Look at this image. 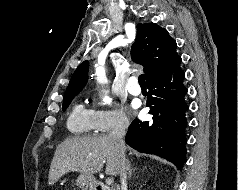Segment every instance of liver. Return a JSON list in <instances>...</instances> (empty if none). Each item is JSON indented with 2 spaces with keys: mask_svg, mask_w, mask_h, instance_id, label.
I'll return each mask as SVG.
<instances>
[{
  "mask_svg": "<svg viewBox=\"0 0 238 190\" xmlns=\"http://www.w3.org/2000/svg\"><path fill=\"white\" fill-rule=\"evenodd\" d=\"M105 162L106 174H119V152L109 136L66 139L56 148L49 170V185H54L68 172L93 176L103 169Z\"/></svg>",
  "mask_w": 238,
  "mask_h": 190,
  "instance_id": "liver-1",
  "label": "liver"
}]
</instances>
